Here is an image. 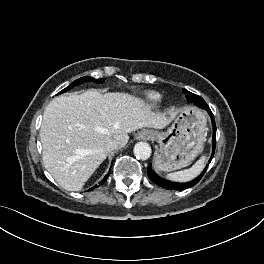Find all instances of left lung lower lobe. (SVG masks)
I'll return each instance as SVG.
<instances>
[{
  "instance_id": "left-lung-lower-lobe-1",
  "label": "left lung lower lobe",
  "mask_w": 264,
  "mask_h": 264,
  "mask_svg": "<svg viewBox=\"0 0 264 264\" xmlns=\"http://www.w3.org/2000/svg\"><path fill=\"white\" fill-rule=\"evenodd\" d=\"M200 101V100H199ZM197 106H199L200 108H203L205 110L208 111L211 120H212V126H213V138H212V143H213V151H212V156L209 160V163L211 162V159L214 156V152H215V142H216V125H215V120H214V116L213 113L211 112L210 108L206 105L203 104L202 102H198L195 103ZM208 165L206 166V168L204 169V171L193 181L189 182V183H172L170 181L164 180L162 178H160L158 175L155 174V172L152 170L151 164L148 166V176L150 178V180H152L154 183H156L157 185H160L163 188L166 189H170V190H183L186 188H190L192 186H194L195 184H197L200 179L202 178V176L204 175V173L207 170Z\"/></svg>"
}]
</instances>
